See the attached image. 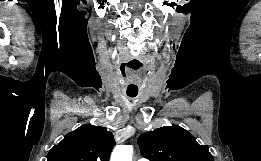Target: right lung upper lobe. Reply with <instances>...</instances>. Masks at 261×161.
Segmentation results:
<instances>
[{"instance_id":"cb5924a9","label":"right lung upper lobe","mask_w":261,"mask_h":161,"mask_svg":"<svg viewBox=\"0 0 261 161\" xmlns=\"http://www.w3.org/2000/svg\"><path fill=\"white\" fill-rule=\"evenodd\" d=\"M113 134L101 126L84 124L49 151L47 161H108Z\"/></svg>"}]
</instances>
